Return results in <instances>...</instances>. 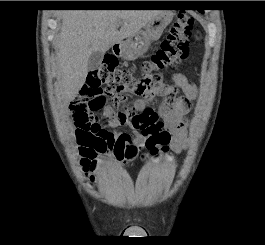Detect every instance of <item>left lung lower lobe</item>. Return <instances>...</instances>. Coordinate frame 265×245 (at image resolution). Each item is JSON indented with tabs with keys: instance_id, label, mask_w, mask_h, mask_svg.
Segmentation results:
<instances>
[{
	"instance_id": "left-lung-lower-lobe-1",
	"label": "left lung lower lobe",
	"mask_w": 265,
	"mask_h": 245,
	"mask_svg": "<svg viewBox=\"0 0 265 245\" xmlns=\"http://www.w3.org/2000/svg\"><path fill=\"white\" fill-rule=\"evenodd\" d=\"M198 11L203 13V10H198Z\"/></svg>"
}]
</instances>
